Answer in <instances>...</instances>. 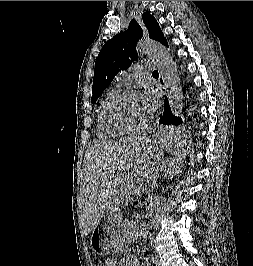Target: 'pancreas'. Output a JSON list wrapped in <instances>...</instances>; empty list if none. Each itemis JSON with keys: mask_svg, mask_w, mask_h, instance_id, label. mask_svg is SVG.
Masks as SVG:
<instances>
[{"mask_svg": "<svg viewBox=\"0 0 253 266\" xmlns=\"http://www.w3.org/2000/svg\"><path fill=\"white\" fill-rule=\"evenodd\" d=\"M148 180L138 172L130 173L122 179L120 184L121 201H133L139 195L137 192L143 190L142 182ZM121 241L123 238L120 239Z\"/></svg>", "mask_w": 253, "mask_h": 266, "instance_id": "cf45deb5", "label": "pancreas"}]
</instances>
